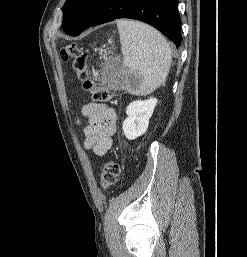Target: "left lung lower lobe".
<instances>
[{
	"label": "left lung lower lobe",
	"mask_w": 247,
	"mask_h": 257,
	"mask_svg": "<svg viewBox=\"0 0 247 257\" xmlns=\"http://www.w3.org/2000/svg\"><path fill=\"white\" fill-rule=\"evenodd\" d=\"M177 6L178 0H99L78 31L71 36H78L91 26L130 18L154 26L179 47L182 38Z\"/></svg>",
	"instance_id": "left-lung-lower-lobe-1"
}]
</instances>
